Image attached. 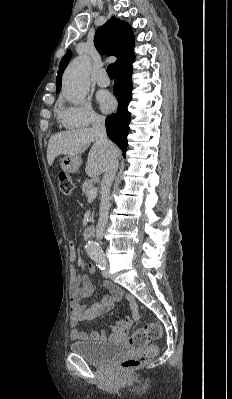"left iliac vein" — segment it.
<instances>
[{
    "label": "left iliac vein",
    "instance_id": "left-iliac-vein-1",
    "mask_svg": "<svg viewBox=\"0 0 232 399\" xmlns=\"http://www.w3.org/2000/svg\"><path fill=\"white\" fill-rule=\"evenodd\" d=\"M102 277L104 279H109L110 278V272L108 270H106V269H103Z\"/></svg>",
    "mask_w": 232,
    "mask_h": 399
}]
</instances>
